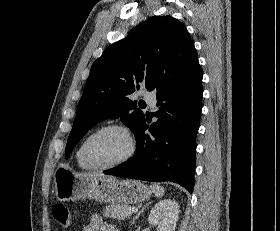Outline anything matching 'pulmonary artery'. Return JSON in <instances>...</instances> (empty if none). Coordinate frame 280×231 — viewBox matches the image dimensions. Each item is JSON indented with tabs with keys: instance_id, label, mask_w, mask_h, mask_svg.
Here are the masks:
<instances>
[{
	"instance_id": "obj_1",
	"label": "pulmonary artery",
	"mask_w": 280,
	"mask_h": 231,
	"mask_svg": "<svg viewBox=\"0 0 280 231\" xmlns=\"http://www.w3.org/2000/svg\"><path fill=\"white\" fill-rule=\"evenodd\" d=\"M142 95H143V98L145 99V101L149 105H156L157 98H156V93L155 92L145 91V92L142 93Z\"/></svg>"
}]
</instances>
